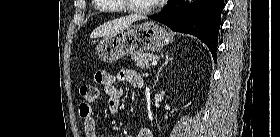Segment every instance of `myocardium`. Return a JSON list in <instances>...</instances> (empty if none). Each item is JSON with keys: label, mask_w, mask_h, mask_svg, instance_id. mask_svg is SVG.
Instances as JSON below:
<instances>
[{"label": "myocardium", "mask_w": 280, "mask_h": 137, "mask_svg": "<svg viewBox=\"0 0 280 137\" xmlns=\"http://www.w3.org/2000/svg\"><path fill=\"white\" fill-rule=\"evenodd\" d=\"M159 5L160 4L155 3L154 5H152L148 8H138V7L129 5V4H125L123 7L129 12L140 13V14H149V13L155 11Z\"/></svg>", "instance_id": "obj_1"}]
</instances>
